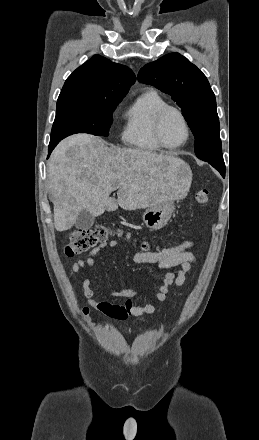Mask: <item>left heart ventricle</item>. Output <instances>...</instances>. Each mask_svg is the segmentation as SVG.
Segmentation results:
<instances>
[{
	"instance_id": "1",
	"label": "left heart ventricle",
	"mask_w": 259,
	"mask_h": 440,
	"mask_svg": "<svg viewBox=\"0 0 259 440\" xmlns=\"http://www.w3.org/2000/svg\"><path fill=\"white\" fill-rule=\"evenodd\" d=\"M162 138L169 146H175L184 141L186 136L185 127L174 112H169L163 120L161 128Z\"/></svg>"
}]
</instances>
